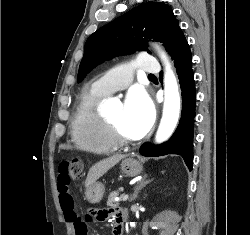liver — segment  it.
Wrapping results in <instances>:
<instances>
[{
    "instance_id": "liver-1",
    "label": "liver",
    "mask_w": 250,
    "mask_h": 235,
    "mask_svg": "<svg viewBox=\"0 0 250 235\" xmlns=\"http://www.w3.org/2000/svg\"><path fill=\"white\" fill-rule=\"evenodd\" d=\"M124 155H115L104 159L95 165H93L88 172L85 187L88 189L93 183L96 182L100 177H102L108 170L114 167L120 160H122Z\"/></svg>"
}]
</instances>
